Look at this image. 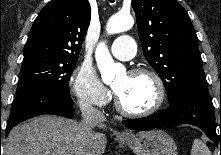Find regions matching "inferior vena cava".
<instances>
[{
    "label": "inferior vena cava",
    "instance_id": "602c4592",
    "mask_svg": "<svg viewBox=\"0 0 221 155\" xmlns=\"http://www.w3.org/2000/svg\"><path fill=\"white\" fill-rule=\"evenodd\" d=\"M80 110L82 112L88 144L92 145V141L95 139L97 135L93 130L94 127L106 121V118L100 110L93 107L88 102L84 101L80 102ZM86 155H95V153H86Z\"/></svg>",
    "mask_w": 221,
    "mask_h": 155
}]
</instances>
